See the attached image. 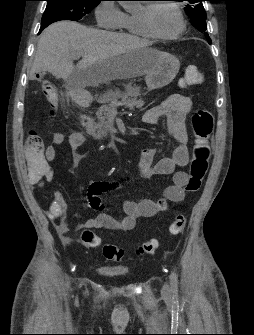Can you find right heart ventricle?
Instances as JSON below:
<instances>
[{
  "mask_svg": "<svg viewBox=\"0 0 254 335\" xmlns=\"http://www.w3.org/2000/svg\"><path fill=\"white\" fill-rule=\"evenodd\" d=\"M119 28L133 36L145 38L151 37V35L142 25L139 18V13H124Z\"/></svg>",
  "mask_w": 254,
  "mask_h": 335,
  "instance_id": "e07e8e85",
  "label": "right heart ventricle"
}]
</instances>
